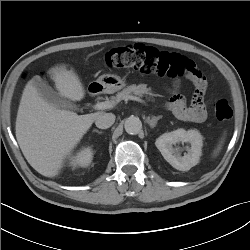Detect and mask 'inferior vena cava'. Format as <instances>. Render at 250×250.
<instances>
[{"instance_id": "602c4592", "label": "inferior vena cava", "mask_w": 250, "mask_h": 250, "mask_svg": "<svg viewBox=\"0 0 250 250\" xmlns=\"http://www.w3.org/2000/svg\"><path fill=\"white\" fill-rule=\"evenodd\" d=\"M115 122V115L112 113H103L96 118L95 124L99 129H107Z\"/></svg>"}]
</instances>
